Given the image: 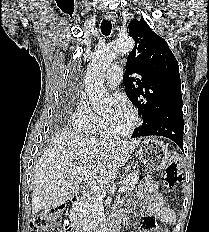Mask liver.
I'll use <instances>...</instances> for the list:
<instances>
[{
	"instance_id": "obj_1",
	"label": "liver",
	"mask_w": 209,
	"mask_h": 232,
	"mask_svg": "<svg viewBox=\"0 0 209 232\" xmlns=\"http://www.w3.org/2000/svg\"><path fill=\"white\" fill-rule=\"evenodd\" d=\"M138 141H111L63 131L50 143L34 168L32 212L55 208L81 189L77 167L88 169L101 185L116 179Z\"/></svg>"
}]
</instances>
